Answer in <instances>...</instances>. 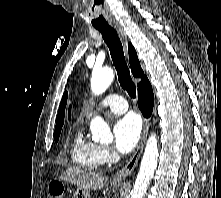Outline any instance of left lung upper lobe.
<instances>
[{
  "label": "left lung upper lobe",
  "instance_id": "1",
  "mask_svg": "<svg viewBox=\"0 0 221 198\" xmlns=\"http://www.w3.org/2000/svg\"><path fill=\"white\" fill-rule=\"evenodd\" d=\"M70 116H71V111H69V116H68L69 119H70Z\"/></svg>",
  "mask_w": 221,
  "mask_h": 198
}]
</instances>
